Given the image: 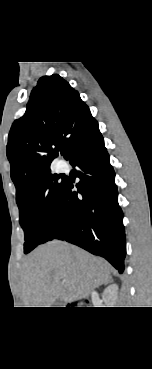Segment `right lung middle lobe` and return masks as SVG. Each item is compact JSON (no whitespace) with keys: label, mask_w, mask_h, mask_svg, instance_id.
<instances>
[{"label":"right lung middle lobe","mask_w":152,"mask_h":369,"mask_svg":"<svg viewBox=\"0 0 152 369\" xmlns=\"http://www.w3.org/2000/svg\"><path fill=\"white\" fill-rule=\"evenodd\" d=\"M51 171L40 177L16 198L20 225L25 232L24 253L48 241L54 233L65 179Z\"/></svg>","instance_id":"1"}]
</instances>
